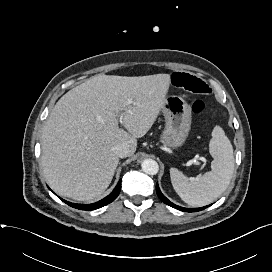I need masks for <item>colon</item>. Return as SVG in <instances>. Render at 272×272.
<instances>
[{"instance_id":"obj_1","label":"colon","mask_w":272,"mask_h":272,"mask_svg":"<svg viewBox=\"0 0 272 272\" xmlns=\"http://www.w3.org/2000/svg\"><path fill=\"white\" fill-rule=\"evenodd\" d=\"M189 104L191 106L193 113H195V114L202 113L206 107L204 100L199 99V98L189 99Z\"/></svg>"}]
</instances>
